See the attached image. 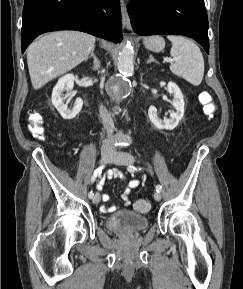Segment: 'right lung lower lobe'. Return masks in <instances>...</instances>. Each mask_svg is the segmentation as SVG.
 Listing matches in <instances>:
<instances>
[{"instance_id":"1","label":"right lung lower lobe","mask_w":243,"mask_h":289,"mask_svg":"<svg viewBox=\"0 0 243 289\" xmlns=\"http://www.w3.org/2000/svg\"><path fill=\"white\" fill-rule=\"evenodd\" d=\"M72 29L120 42L119 0H25L22 15V52L40 34Z\"/></svg>"}]
</instances>
